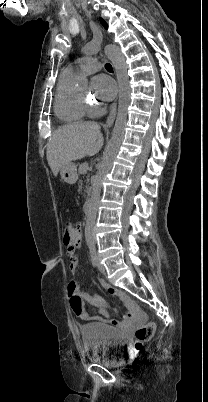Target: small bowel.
<instances>
[{"mask_svg":"<svg viewBox=\"0 0 208 402\" xmlns=\"http://www.w3.org/2000/svg\"><path fill=\"white\" fill-rule=\"evenodd\" d=\"M82 222L81 221H76L75 226H74V231H75V237L73 238L72 241L69 242V247L67 248V253L70 257V268L72 271H74L77 268L78 265V257L76 254V250L80 247V242H81V237H82ZM101 284L105 289H109V286L107 285L106 282L101 280ZM67 297L70 299L72 296H79L82 301H85L87 304L97 308L99 312L103 315L102 317L107 318L105 314V302L102 298L98 296H94L88 293H85L81 291L77 285V283L74 280L69 281L67 285V290H66ZM108 297H110L112 300H117V301H122L127 310L128 313L124 315L122 321L118 319H111L108 318L109 323L112 325H118L120 324L121 329L123 330H131L132 327H135V324H143L146 321L145 316L142 315V312L140 309H134V304L131 302L129 299V295L127 292H115L113 289H109L107 292ZM82 318V321L84 324H91L93 323L94 319L97 317H100L98 315L89 313L84 309V313L79 316ZM98 321H101V318H98Z\"/></svg>","mask_w":208,"mask_h":402,"instance_id":"small-bowel-1","label":"small bowel"}]
</instances>
